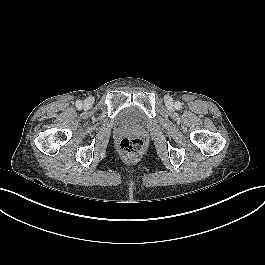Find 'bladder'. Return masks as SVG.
I'll return each instance as SVG.
<instances>
[{"label": "bladder", "instance_id": "1", "mask_svg": "<svg viewBox=\"0 0 265 265\" xmlns=\"http://www.w3.org/2000/svg\"><path fill=\"white\" fill-rule=\"evenodd\" d=\"M118 118L127 127H138L144 122L145 115L138 107L129 105L121 109Z\"/></svg>", "mask_w": 265, "mask_h": 265}]
</instances>
